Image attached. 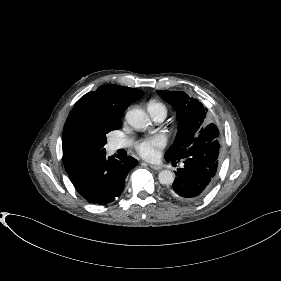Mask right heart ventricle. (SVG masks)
<instances>
[{"mask_svg":"<svg viewBox=\"0 0 281 281\" xmlns=\"http://www.w3.org/2000/svg\"><path fill=\"white\" fill-rule=\"evenodd\" d=\"M148 111L164 112L166 114L167 113V108H166V106L162 102L156 101V100H151L148 103Z\"/></svg>","mask_w":281,"mask_h":281,"instance_id":"right-heart-ventricle-1","label":"right heart ventricle"}]
</instances>
